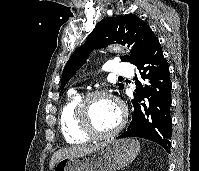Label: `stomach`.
Returning <instances> with one entry per match:
<instances>
[{"mask_svg":"<svg viewBox=\"0 0 199 171\" xmlns=\"http://www.w3.org/2000/svg\"><path fill=\"white\" fill-rule=\"evenodd\" d=\"M139 149L134 139H108L91 152L60 160L53 171H117L132 162Z\"/></svg>","mask_w":199,"mask_h":171,"instance_id":"1","label":"stomach"}]
</instances>
